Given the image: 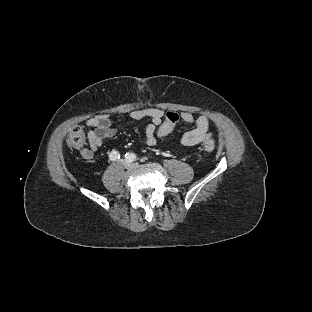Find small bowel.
<instances>
[{
    "label": "small bowel",
    "mask_w": 312,
    "mask_h": 312,
    "mask_svg": "<svg viewBox=\"0 0 312 312\" xmlns=\"http://www.w3.org/2000/svg\"><path fill=\"white\" fill-rule=\"evenodd\" d=\"M167 112L160 108H146L133 110L129 113V117L133 120H141L148 118L150 122L145 128L144 140L146 145L152 147L157 143L156 129L160 123H163L164 115ZM182 116L183 122L194 124V129L185 133L181 137V143L184 146H196L211 138L209 132L210 121L204 115L195 117L190 111H182L179 113ZM88 128V147L82 149L81 157L84 160H91L94 154L103 141L115 135L116 130L112 126L111 120L107 115H97L86 121Z\"/></svg>",
    "instance_id": "obj_1"
}]
</instances>
